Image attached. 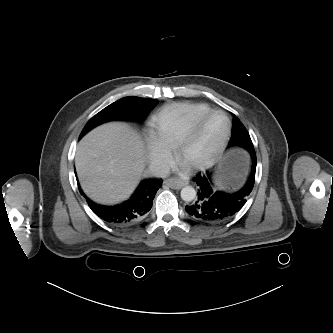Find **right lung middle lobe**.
<instances>
[{
    "label": "right lung middle lobe",
    "instance_id": "obj_1",
    "mask_svg": "<svg viewBox=\"0 0 333 333\" xmlns=\"http://www.w3.org/2000/svg\"><path fill=\"white\" fill-rule=\"evenodd\" d=\"M158 100L140 97H124L93 116L84 127L80 138L95 126L111 120L142 121L157 105Z\"/></svg>",
    "mask_w": 333,
    "mask_h": 333
}]
</instances>
